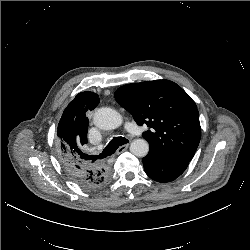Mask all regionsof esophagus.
Here are the masks:
<instances>
[{
	"label": "esophagus",
	"mask_w": 250,
	"mask_h": 250,
	"mask_svg": "<svg viewBox=\"0 0 250 250\" xmlns=\"http://www.w3.org/2000/svg\"><path fill=\"white\" fill-rule=\"evenodd\" d=\"M129 144H125V145H122L118 148V150L116 151V154H120L122 152H124L127 148H128Z\"/></svg>",
	"instance_id": "34e87169"
}]
</instances>
